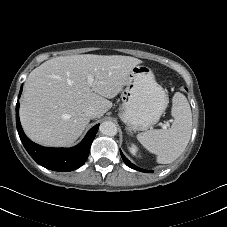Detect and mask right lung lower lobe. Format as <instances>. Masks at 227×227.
Masks as SVG:
<instances>
[{"instance_id": "1", "label": "right lung lower lobe", "mask_w": 227, "mask_h": 227, "mask_svg": "<svg viewBox=\"0 0 227 227\" xmlns=\"http://www.w3.org/2000/svg\"><path fill=\"white\" fill-rule=\"evenodd\" d=\"M22 90L19 92V97ZM16 125L19 137L29 155L41 166L53 171H72L82 166L89 155L90 146L99 124L91 128L83 141L72 148H47L32 142L23 132L19 120V101L16 104Z\"/></svg>"}]
</instances>
